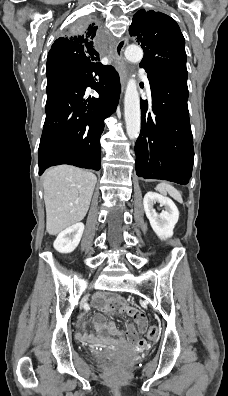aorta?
Here are the masks:
<instances>
[{
  "label": "aorta",
  "instance_id": "aorta-1",
  "mask_svg": "<svg viewBox=\"0 0 228 396\" xmlns=\"http://www.w3.org/2000/svg\"><path fill=\"white\" fill-rule=\"evenodd\" d=\"M125 58L132 63H138L143 58V51L139 46L131 45L125 49ZM124 116L126 131L130 139L139 136L141 128L140 97L135 79H129L124 97Z\"/></svg>",
  "mask_w": 228,
  "mask_h": 396
}]
</instances>
